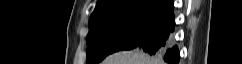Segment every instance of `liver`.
Here are the masks:
<instances>
[{
  "label": "liver",
  "mask_w": 242,
  "mask_h": 64,
  "mask_svg": "<svg viewBox=\"0 0 242 64\" xmlns=\"http://www.w3.org/2000/svg\"><path fill=\"white\" fill-rule=\"evenodd\" d=\"M159 62L158 59H153L142 51L135 49L114 53L108 56L103 64H159Z\"/></svg>",
  "instance_id": "6515ba94"
}]
</instances>
